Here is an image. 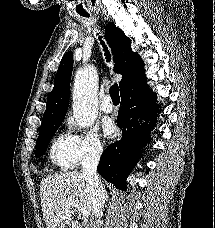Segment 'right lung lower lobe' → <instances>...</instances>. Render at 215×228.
Returning a JSON list of instances; mask_svg holds the SVG:
<instances>
[{
	"label": "right lung lower lobe",
	"mask_w": 215,
	"mask_h": 228,
	"mask_svg": "<svg viewBox=\"0 0 215 228\" xmlns=\"http://www.w3.org/2000/svg\"><path fill=\"white\" fill-rule=\"evenodd\" d=\"M121 98L117 125L122 129V139L105 149L97 170L107 181L125 190L126 177L142 157L143 146L150 141L160 106L145 75L130 79L121 91ZM142 119L146 122L142 123Z\"/></svg>",
	"instance_id": "98d812e1"
}]
</instances>
